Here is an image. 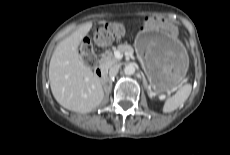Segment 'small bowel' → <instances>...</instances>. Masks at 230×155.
Returning <instances> with one entry per match:
<instances>
[{
	"label": "small bowel",
	"instance_id": "small-bowel-1",
	"mask_svg": "<svg viewBox=\"0 0 230 155\" xmlns=\"http://www.w3.org/2000/svg\"><path fill=\"white\" fill-rule=\"evenodd\" d=\"M152 30L164 31L169 36H177L180 28L167 18H158L153 15H147L138 26L139 32H150Z\"/></svg>",
	"mask_w": 230,
	"mask_h": 155
}]
</instances>
